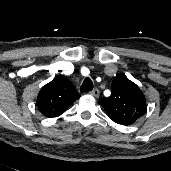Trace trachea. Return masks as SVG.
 Returning <instances> with one entry per match:
<instances>
[{
	"instance_id": "1",
	"label": "trachea",
	"mask_w": 171,
	"mask_h": 171,
	"mask_svg": "<svg viewBox=\"0 0 171 171\" xmlns=\"http://www.w3.org/2000/svg\"><path fill=\"white\" fill-rule=\"evenodd\" d=\"M92 89H93L92 80L89 77L85 78L80 87V92L91 91Z\"/></svg>"
}]
</instances>
